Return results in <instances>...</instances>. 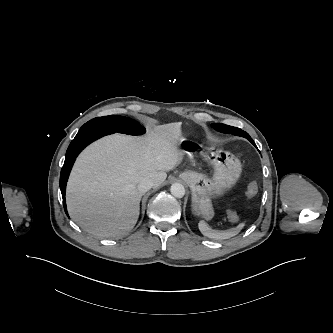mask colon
Here are the masks:
<instances>
[{
	"label": "colon",
	"instance_id": "5ec220e1",
	"mask_svg": "<svg viewBox=\"0 0 333 333\" xmlns=\"http://www.w3.org/2000/svg\"><path fill=\"white\" fill-rule=\"evenodd\" d=\"M258 192V185L256 182H251L245 191V196L247 198H251L253 196H255ZM227 217L229 219L230 222H236L238 220V214L235 211H229L227 214Z\"/></svg>",
	"mask_w": 333,
	"mask_h": 333
}]
</instances>
